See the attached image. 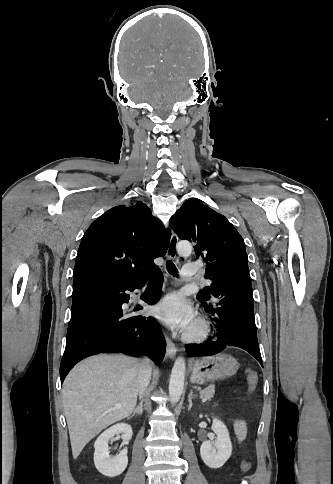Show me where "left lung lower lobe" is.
I'll list each match as a JSON object with an SVG mask.
<instances>
[{
    "instance_id": "1",
    "label": "left lung lower lobe",
    "mask_w": 333,
    "mask_h": 484,
    "mask_svg": "<svg viewBox=\"0 0 333 484\" xmlns=\"http://www.w3.org/2000/svg\"><path fill=\"white\" fill-rule=\"evenodd\" d=\"M212 280L217 285L214 296L217 302L214 306L205 304V310L217 324V335L202 344L186 346L188 355L208 356L222 352L228 346H235L248 351L263 366L248 263L228 261L215 271Z\"/></svg>"
}]
</instances>
